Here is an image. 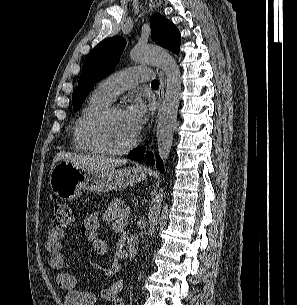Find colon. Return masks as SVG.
<instances>
[{"label": "colon", "instance_id": "obj_1", "mask_svg": "<svg viewBox=\"0 0 297 305\" xmlns=\"http://www.w3.org/2000/svg\"><path fill=\"white\" fill-rule=\"evenodd\" d=\"M77 222L76 213L66 202H56L53 208L52 227L55 229H71Z\"/></svg>", "mask_w": 297, "mask_h": 305}]
</instances>
